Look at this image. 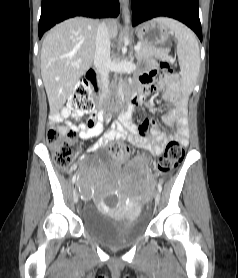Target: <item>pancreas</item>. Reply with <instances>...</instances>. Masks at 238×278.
Segmentation results:
<instances>
[{"label":"pancreas","mask_w":238,"mask_h":278,"mask_svg":"<svg viewBox=\"0 0 238 278\" xmlns=\"http://www.w3.org/2000/svg\"><path fill=\"white\" fill-rule=\"evenodd\" d=\"M168 56V51L165 49H160L145 43H140V50L136 52V58L138 60L147 59L149 57H156L159 59H164Z\"/></svg>","instance_id":"cf45deb5"}]
</instances>
